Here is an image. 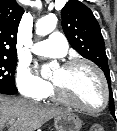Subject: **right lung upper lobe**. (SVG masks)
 <instances>
[{
	"label": "right lung upper lobe",
	"instance_id": "obj_1",
	"mask_svg": "<svg viewBox=\"0 0 117 131\" xmlns=\"http://www.w3.org/2000/svg\"><path fill=\"white\" fill-rule=\"evenodd\" d=\"M23 13L16 0H0V53L17 55V31Z\"/></svg>",
	"mask_w": 117,
	"mask_h": 131
}]
</instances>
